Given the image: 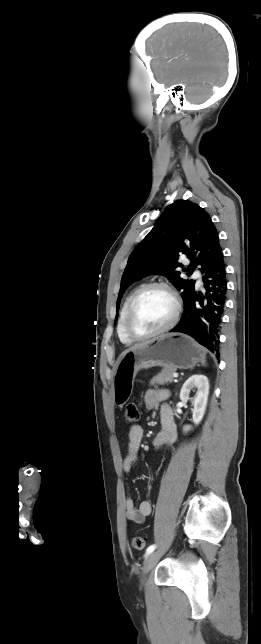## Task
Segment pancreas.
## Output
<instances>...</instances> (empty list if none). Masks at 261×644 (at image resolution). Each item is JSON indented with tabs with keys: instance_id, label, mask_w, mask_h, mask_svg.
Segmentation results:
<instances>
[{
	"instance_id": "pancreas-1",
	"label": "pancreas",
	"mask_w": 261,
	"mask_h": 644,
	"mask_svg": "<svg viewBox=\"0 0 261 644\" xmlns=\"http://www.w3.org/2000/svg\"><path fill=\"white\" fill-rule=\"evenodd\" d=\"M175 371L176 370L174 368L164 367L157 376L151 379L150 385H154V384L164 385L167 383H172L173 374L175 373Z\"/></svg>"
}]
</instances>
